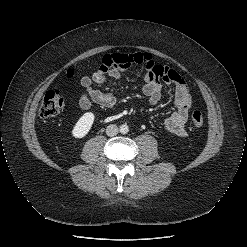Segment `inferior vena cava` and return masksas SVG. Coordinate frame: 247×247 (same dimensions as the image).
I'll return each mask as SVG.
<instances>
[{"mask_svg": "<svg viewBox=\"0 0 247 247\" xmlns=\"http://www.w3.org/2000/svg\"><path fill=\"white\" fill-rule=\"evenodd\" d=\"M118 133V127L114 124H110L109 126H107L106 128V134L110 137H113L115 135H117Z\"/></svg>", "mask_w": 247, "mask_h": 247, "instance_id": "602c4592", "label": "inferior vena cava"}]
</instances>
